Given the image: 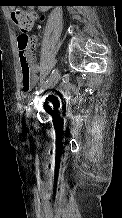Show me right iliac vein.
Segmentation results:
<instances>
[{
  "mask_svg": "<svg viewBox=\"0 0 122 218\" xmlns=\"http://www.w3.org/2000/svg\"><path fill=\"white\" fill-rule=\"evenodd\" d=\"M59 78H60V73L57 71L55 77L46 86L43 87L41 92H44L47 89L53 88L57 84ZM35 104H36V99L31 104H29V108L26 114L27 120H30L33 114V107Z\"/></svg>",
  "mask_w": 122,
  "mask_h": 218,
  "instance_id": "right-iliac-vein-1",
  "label": "right iliac vein"
}]
</instances>
